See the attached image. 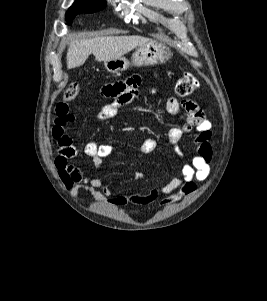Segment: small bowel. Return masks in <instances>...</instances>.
<instances>
[{
	"instance_id": "c3829d8e",
	"label": "small bowel",
	"mask_w": 267,
	"mask_h": 301,
	"mask_svg": "<svg viewBox=\"0 0 267 301\" xmlns=\"http://www.w3.org/2000/svg\"><path fill=\"white\" fill-rule=\"evenodd\" d=\"M141 78L132 75L125 80L106 84L100 89V96L110 102L106 103L99 111L98 118L107 120L115 117L119 108L132 103L139 95ZM151 94H157L158 89L151 87ZM167 111L173 115L184 110L186 114L185 122L169 129L165 146L172 149L178 156L183 154L179 148V141L193 129L196 130L197 152L189 163L182 166L180 173L160 190L153 189L145 194L124 195L115 194L108 187L104 186L97 176L83 177L79 168L70 162L75 158L79 150L74 146L72 138L66 133V127L74 120V115L70 112L66 102H59L55 108L56 120L52 129V136L58 145V156L55 164L59 177L65 187L73 194L77 195L80 189L90 191L97 199L109 197V202L114 205L127 204H147L156 199L162 193L166 195L160 201L158 207H165L173 203L181 195H188L197 189V183L204 181L210 173V162L212 159V148L210 140L212 137L211 122L204 116L199 106L190 100H185L181 104L173 97H164ZM157 147L154 139H146L140 146V152L149 154ZM113 151L110 144H98L88 142L83 147V153L92 159L93 166L99 168L103 160ZM142 173H136L135 179L140 180Z\"/></svg>"
}]
</instances>
